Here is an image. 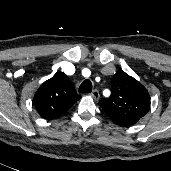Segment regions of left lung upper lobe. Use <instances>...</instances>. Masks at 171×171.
Instances as JSON below:
<instances>
[{
  "label": "left lung upper lobe",
  "instance_id": "5c2ea615",
  "mask_svg": "<svg viewBox=\"0 0 171 171\" xmlns=\"http://www.w3.org/2000/svg\"><path fill=\"white\" fill-rule=\"evenodd\" d=\"M111 87V96L101 100L100 106L115 124L124 127L136 124L150 107L146 88L123 71L113 76Z\"/></svg>",
  "mask_w": 171,
  "mask_h": 171
}]
</instances>
